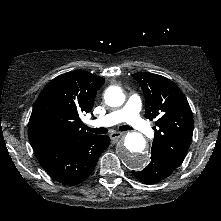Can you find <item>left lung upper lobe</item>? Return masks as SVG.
Masks as SVG:
<instances>
[{
    "mask_svg": "<svg viewBox=\"0 0 221 221\" xmlns=\"http://www.w3.org/2000/svg\"><path fill=\"white\" fill-rule=\"evenodd\" d=\"M133 77L145 95V117L156 119L151 153L158 154L172 169L184 160L193 134V115L179 87L166 77L138 72Z\"/></svg>",
    "mask_w": 221,
    "mask_h": 221,
    "instance_id": "5c2ea615",
    "label": "left lung upper lobe"
}]
</instances>
